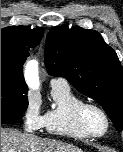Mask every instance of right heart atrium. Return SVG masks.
I'll return each instance as SVG.
<instances>
[{"label": "right heart atrium", "instance_id": "1", "mask_svg": "<svg viewBox=\"0 0 123 152\" xmlns=\"http://www.w3.org/2000/svg\"><path fill=\"white\" fill-rule=\"evenodd\" d=\"M24 128L28 131H36L42 128L43 115L40 110V103L35 97H28L22 112Z\"/></svg>", "mask_w": 123, "mask_h": 152}]
</instances>
